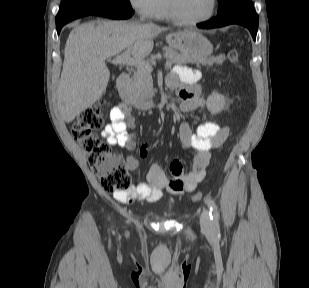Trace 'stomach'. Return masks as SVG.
Instances as JSON below:
<instances>
[{
    "label": "stomach",
    "instance_id": "stomach-1",
    "mask_svg": "<svg viewBox=\"0 0 309 288\" xmlns=\"http://www.w3.org/2000/svg\"><path fill=\"white\" fill-rule=\"evenodd\" d=\"M170 47L190 57H206L213 51L210 41L199 31L186 29L166 36Z\"/></svg>",
    "mask_w": 309,
    "mask_h": 288
}]
</instances>
